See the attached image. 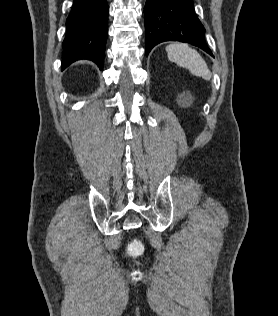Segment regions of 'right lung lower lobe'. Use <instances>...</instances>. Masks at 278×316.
I'll use <instances>...</instances> for the list:
<instances>
[{
	"label": "right lung lower lobe",
	"mask_w": 278,
	"mask_h": 316,
	"mask_svg": "<svg viewBox=\"0 0 278 316\" xmlns=\"http://www.w3.org/2000/svg\"><path fill=\"white\" fill-rule=\"evenodd\" d=\"M107 16L106 0H74L62 44V70L80 59L91 60L103 68Z\"/></svg>",
	"instance_id": "right-lung-lower-lobe-1"
}]
</instances>
